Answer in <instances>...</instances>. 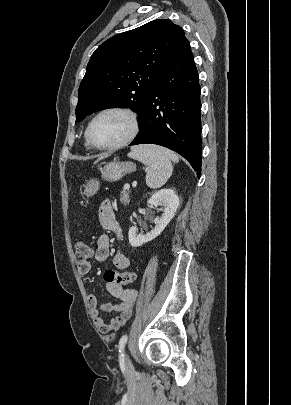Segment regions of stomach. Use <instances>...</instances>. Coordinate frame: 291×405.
I'll return each mask as SVG.
<instances>
[{"label": "stomach", "mask_w": 291, "mask_h": 405, "mask_svg": "<svg viewBox=\"0 0 291 405\" xmlns=\"http://www.w3.org/2000/svg\"><path fill=\"white\" fill-rule=\"evenodd\" d=\"M135 169V165L131 162L113 161L104 166L101 170V176L103 180L115 182L120 180L124 175L135 171ZM99 187L100 182L92 179L86 184L84 193L88 196H92L97 193Z\"/></svg>", "instance_id": "obj_1"}]
</instances>
